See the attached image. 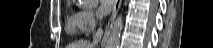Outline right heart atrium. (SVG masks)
<instances>
[{"label": "right heart atrium", "mask_w": 213, "mask_h": 48, "mask_svg": "<svg viewBox=\"0 0 213 48\" xmlns=\"http://www.w3.org/2000/svg\"><path fill=\"white\" fill-rule=\"evenodd\" d=\"M97 15L92 9H85L82 11L81 20L83 32H90L97 22Z\"/></svg>", "instance_id": "obj_1"}]
</instances>
